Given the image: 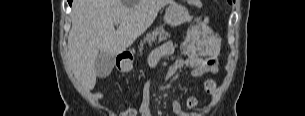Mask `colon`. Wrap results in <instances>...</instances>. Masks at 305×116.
Returning a JSON list of instances; mask_svg holds the SVG:
<instances>
[{"instance_id": "obj_1", "label": "colon", "mask_w": 305, "mask_h": 116, "mask_svg": "<svg viewBox=\"0 0 305 116\" xmlns=\"http://www.w3.org/2000/svg\"><path fill=\"white\" fill-rule=\"evenodd\" d=\"M139 115V106L130 105L127 108L114 113L112 116H138Z\"/></svg>"}]
</instances>
